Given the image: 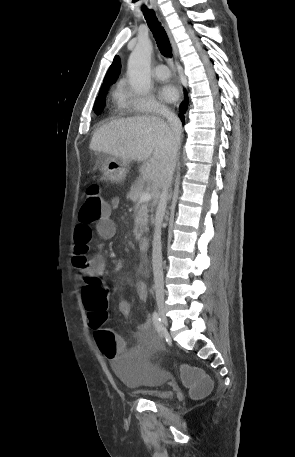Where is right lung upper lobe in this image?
Listing matches in <instances>:
<instances>
[{"instance_id":"1","label":"right lung upper lobe","mask_w":295,"mask_h":457,"mask_svg":"<svg viewBox=\"0 0 295 457\" xmlns=\"http://www.w3.org/2000/svg\"><path fill=\"white\" fill-rule=\"evenodd\" d=\"M120 69H121L120 58L118 56H116L113 60L112 65L110 66V68L107 71V74L104 78V83L102 85V88L110 86L116 80V78L118 77V75L120 73Z\"/></svg>"}]
</instances>
